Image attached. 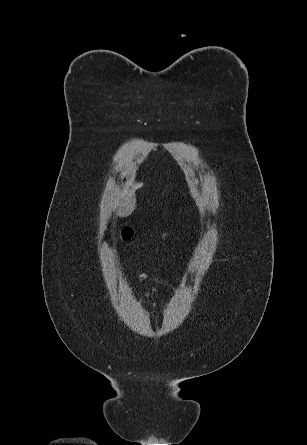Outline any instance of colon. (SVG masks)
<instances>
[{
	"mask_svg": "<svg viewBox=\"0 0 307 445\" xmlns=\"http://www.w3.org/2000/svg\"><path fill=\"white\" fill-rule=\"evenodd\" d=\"M131 235H132V231L130 228L126 227L122 230V239L124 241L128 240L131 237Z\"/></svg>",
	"mask_w": 307,
	"mask_h": 445,
	"instance_id": "colon-1",
	"label": "colon"
}]
</instances>
